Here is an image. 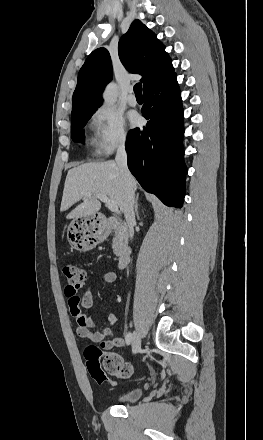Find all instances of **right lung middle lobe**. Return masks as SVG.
Listing matches in <instances>:
<instances>
[{"label":"right lung middle lobe","instance_id":"dd1d6c3e","mask_svg":"<svg viewBox=\"0 0 263 440\" xmlns=\"http://www.w3.org/2000/svg\"><path fill=\"white\" fill-rule=\"evenodd\" d=\"M95 111L87 112L84 114L72 117L71 122V136L74 142H84V130L83 127L86 125L87 121L93 115Z\"/></svg>","mask_w":263,"mask_h":440}]
</instances>
